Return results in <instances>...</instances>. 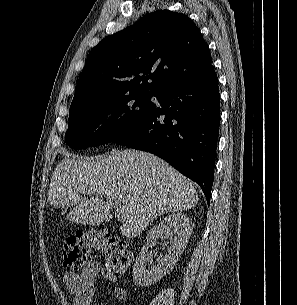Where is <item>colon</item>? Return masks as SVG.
<instances>
[{
    "mask_svg": "<svg viewBox=\"0 0 297 305\" xmlns=\"http://www.w3.org/2000/svg\"><path fill=\"white\" fill-rule=\"evenodd\" d=\"M94 252H102L108 268L115 275H123L131 262V255L124 241L105 231L89 229L70 236L62 250L65 270L81 268Z\"/></svg>",
    "mask_w": 297,
    "mask_h": 305,
    "instance_id": "1",
    "label": "colon"
}]
</instances>
